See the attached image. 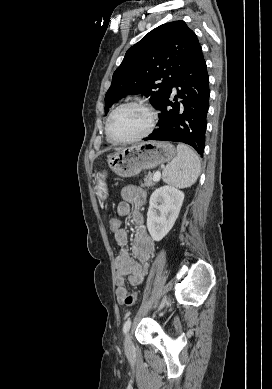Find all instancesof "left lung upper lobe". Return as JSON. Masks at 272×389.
<instances>
[{
  "mask_svg": "<svg viewBox=\"0 0 272 389\" xmlns=\"http://www.w3.org/2000/svg\"><path fill=\"white\" fill-rule=\"evenodd\" d=\"M201 48L184 21L163 24L125 54L105 96V114L125 95L143 94L158 108L171 83Z\"/></svg>",
  "mask_w": 272,
  "mask_h": 389,
  "instance_id": "obj_1",
  "label": "left lung upper lobe"
}]
</instances>
